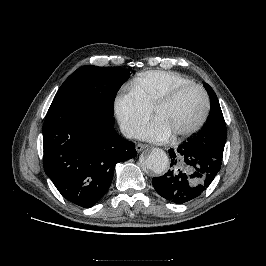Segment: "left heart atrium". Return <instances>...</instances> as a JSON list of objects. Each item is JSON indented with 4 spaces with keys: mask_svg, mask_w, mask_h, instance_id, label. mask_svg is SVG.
<instances>
[{
    "mask_svg": "<svg viewBox=\"0 0 266 266\" xmlns=\"http://www.w3.org/2000/svg\"><path fill=\"white\" fill-rule=\"evenodd\" d=\"M171 131L158 119L140 128L137 136L151 141H164L171 136Z\"/></svg>",
    "mask_w": 266,
    "mask_h": 266,
    "instance_id": "obj_1",
    "label": "left heart atrium"
}]
</instances>
